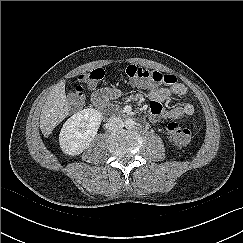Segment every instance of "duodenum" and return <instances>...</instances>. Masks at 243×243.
Segmentation results:
<instances>
[{
  "label": "duodenum",
  "mask_w": 243,
  "mask_h": 243,
  "mask_svg": "<svg viewBox=\"0 0 243 243\" xmlns=\"http://www.w3.org/2000/svg\"><path fill=\"white\" fill-rule=\"evenodd\" d=\"M106 101H104V100H99L98 102H97V104H104Z\"/></svg>",
  "instance_id": "duodenum-1"
}]
</instances>
